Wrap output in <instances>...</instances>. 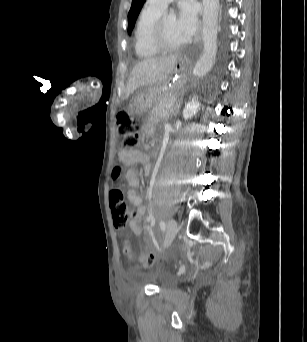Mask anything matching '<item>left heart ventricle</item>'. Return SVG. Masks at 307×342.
Here are the masks:
<instances>
[{
  "mask_svg": "<svg viewBox=\"0 0 307 342\" xmlns=\"http://www.w3.org/2000/svg\"><path fill=\"white\" fill-rule=\"evenodd\" d=\"M162 42L165 47L171 50H179L184 47V43L176 33L174 19L165 18L162 29Z\"/></svg>",
  "mask_w": 307,
  "mask_h": 342,
  "instance_id": "left-heart-ventricle-1",
  "label": "left heart ventricle"
}]
</instances>
